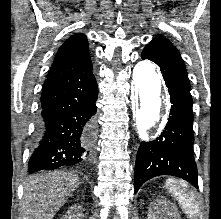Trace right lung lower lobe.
<instances>
[{"label": "right lung lower lobe", "instance_id": "right-lung-lower-lobe-1", "mask_svg": "<svg viewBox=\"0 0 221 219\" xmlns=\"http://www.w3.org/2000/svg\"><path fill=\"white\" fill-rule=\"evenodd\" d=\"M97 97L90 57L45 80L28 172L72 166L93 158L91 124Z\"/></svg>", "mask_w": 221, "mask_h": 219}]
</instances>
